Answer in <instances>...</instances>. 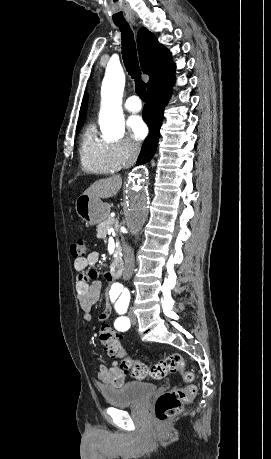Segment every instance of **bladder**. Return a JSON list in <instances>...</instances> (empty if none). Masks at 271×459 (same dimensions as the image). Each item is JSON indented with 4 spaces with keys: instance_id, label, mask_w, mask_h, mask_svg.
<instances>
[{
    "instance_id": "obj_1",
    "label": "bladder",
    "mask_w": 271,
    "mask_h": 459,
    "mask_svg": "<svg viewBox=\"0 0 271 459\" xmlns=\"http://www.w3.org/2000/svg\"><path fill=\"white\" fill-rule=\"evenodd\" d=\"M156 390L153 383L131 382L125 383L119 389L102 391V394L109 405H141Z\"/></svg>"
}]
</instances>
